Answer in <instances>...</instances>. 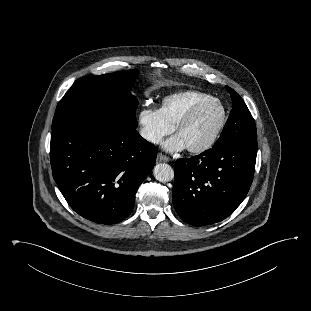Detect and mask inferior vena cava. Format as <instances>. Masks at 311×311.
Wrapping results in <instances>:
<instances>
[{"instance_id":"602c4592","label":"inferior vena cava","mask_w":311,"mask_h":311,"mask_svg":"<svg viewBox=\"0 0 311 311\" xmlns=\"http://www.w3.org/2000/svg\"><path fill=\"white\" fill-rule=\"evenodd\" d=\"M140 135L144 139H146V140H148L150 142H153V143H156V142H158L160 140V137H158L157 135H155L154 133H152L151 131H149L146 128H142L140 130Z\"/></svg>"}]
</instances>
